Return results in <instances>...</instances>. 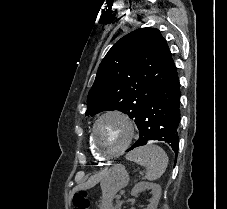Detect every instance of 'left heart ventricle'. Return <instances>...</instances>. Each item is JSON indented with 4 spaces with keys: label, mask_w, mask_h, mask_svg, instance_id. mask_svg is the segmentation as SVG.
Instances as JSON below:
<instances>
[{
    "label": "left heart ventricle",
    "mask_w": 227,
    "mask_h": 209,
    "mask_svg": "<svg viewBox=\"0 0 227 209\" xmlns=\"http://www.w3.org/2000/svg\"><path fill=\"white\" fill-rule=\"evenodd\" d=\"M129 134V126L123 119L115 115L106 116L96 127V144L103 154L114 152L124 146Z\"/></svg>",
    "instance_id": "b2bd125f"
}]
</instances>
